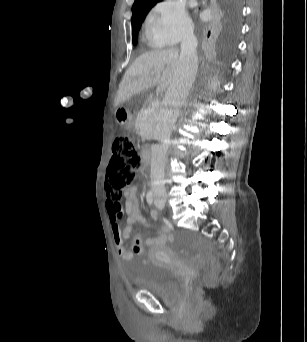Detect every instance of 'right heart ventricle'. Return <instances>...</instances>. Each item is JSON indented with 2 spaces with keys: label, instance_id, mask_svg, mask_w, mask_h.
<instances>
[{
  "label": "right heart ventricle",
  "instance_id": "e07e8e85",
  "mask_svg": "<svg viewBox=\"0 0 307 342\" xmlns=\"http://www.w3.org/2000/svg\"><path fill=\"white\" fill-rule=\"evenodd\" d=\"M140 41L143 45V51L146 53L155 52L160 48V45L155 43L150 38L146 37L144 34L140 36Z\"/></svg>",
  "mask_w": 307,
  "mask_h": 342
}]
</instances>
